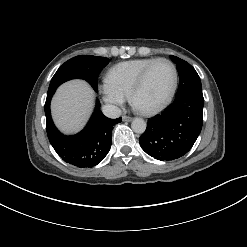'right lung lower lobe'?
I'll list each match as a JSON object with an SVG mask.
<instances>
[{"instance_id": "right-lung-lower-lobe-1", "label": "right lung lower lobe", "mask_w": 247, "mask_h": 247, "mask_svg": "<svg viewBox=\"0 0 247 247\" xmlns=\"http://www.w3.org/2000/svg\"><path fill=\"white\" fill-rule=\"evenodd\" d=\"M55 91L47 93L45 102L46 130L57 154L67 163L79 168L99 164L108 154L112 143V129L122 118L110 119L102 114L99 101L86 127L76 135L65 136L55 127L50 114V101Z\"/></svg>"}]
</instances>
